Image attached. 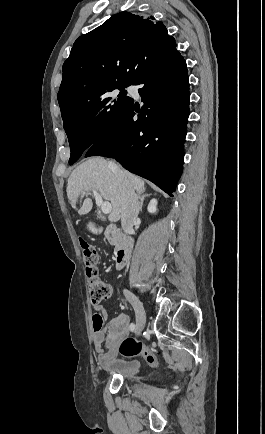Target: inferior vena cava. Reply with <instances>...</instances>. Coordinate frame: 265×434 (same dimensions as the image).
<instances>
[{
	"mask_svg": "<svg viewBox=\"0 0 265 434\" xmlns=\"http://www.w3.org/2000/svg\"><path fill=\"white\" fill-rule=\"evenodd\" d=\"M113 170H116V178L119 182V190L123 194L122 212H121V226L126 232L130 234L133 230V224L136 222L139 214L140 204L138 202V196L135 194L128 178L121 172L120 168L116 164H110Z\"/></svg>",
	"mask_w": 265,
	"mask_h": 434,
	"instance_id": "obj_1",
	"label": "inferior vena cava"
}]
</instances>
